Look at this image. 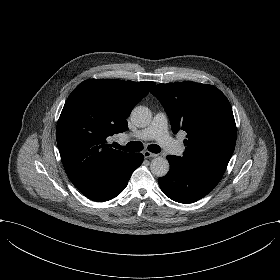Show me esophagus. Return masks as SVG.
Instances as JSON below:
<instances>
[{"mask_svg": "<svg viewBox=\"0 0 280 280\" xmlns=\"http://www.w3.org/2000/svg\"><path fill=\"white\" fill-rule=\"evenodd\" d=\"M143 156H144L145 158H154V157H157L158 155L155 154V153H152V152H150V151H144V152H143Z\"/></svg>", "mask_w": 280, "mask_h": 280, "instance_id": "obj_1", "label": "esophagus"}]
</instances>
